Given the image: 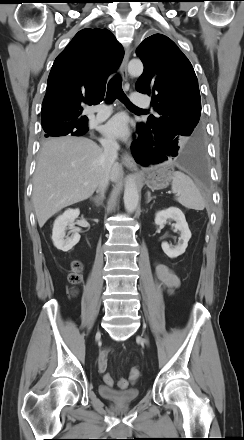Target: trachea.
<instances>
[{
	"label": "trachea",
	"instance_id": "1",
	"mask_svg": "<svg viewBox=\"0 0 244 440\" xmlns=\"http://www.w3.org/2000/svg\"><path fill=\"white\" fill-rule=\"evenodd\" d=\"M115 99H119L120 101L125 103V105L127 107H129V108H133V109H138V110L144 111L143 109L138 108V107L134 106L132 103L129 102V100L127 99L126 95L124 94V92L122 90V80H121V77L119 75L114 76L109 81L108 87H107L106 102L107 103H111Z\"/></svg>",
	"mask_w": 244,
	"mask_h": 440
}]
</instances>
